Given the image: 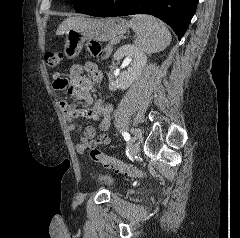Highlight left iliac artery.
Here are the masks:
<instances>
[{
    "instance_id": "obj_1",
    "label": "left iliac artery",
    "mask_w": 240,
    "mask_h": 238,
    "mask_svg": "<svg viewBox=\"0 0 240 238\" xmlns=\"http://www.w3.org/2000/svg\"><path fill=\"white\" fill-rule=\"evenodd\" d=\"M131 133L134 135V137H133V139H132V140H133V145H134V146H137V145L139 144V143H138V140H139L138 137H139L140 134H139V132H138L137 129H132V130H131Z\"/></svg>"
}]
</instances>
